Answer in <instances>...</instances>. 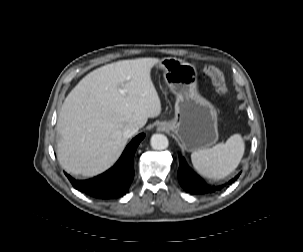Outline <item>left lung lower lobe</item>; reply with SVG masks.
<instances>
[{
    "mask_svg": "<svg viewBox=\"0 0 303 252\" xmlns=\"http://www.w3.org/2000/svg\"><path fill=\"white\" fill-rule=\"evenodd\" d=\"M239 174L235 176L228 184L233 183ZM178 180L180 185L188 192L193 194L212 193L221 190L225 185L212 186L206 184L200 177H198L186 164L184 158H180V165L178 170Z\"/></svg>",
    "mask_w": 303,
    "mask_h": 252,
    "instance_id": "1",
    "label": "left lung lower lobe"
}]
</instances>
